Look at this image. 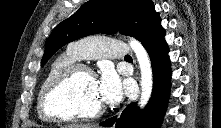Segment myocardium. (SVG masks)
Masks as SVG:
<instances>
[{
    "mask_svg": "<svg viewBox=\"0 0 221 128\" xmlns=\"http://www.w3.org/2000/svg\"><path fill=\"white\" fill-rule=\"evenodd\" d=\"M79 73H86L94 78V72L89 66L81 63H74L66 67L45 85L39 99L40 112L45 118L69 122L93 120L103 114L104 105H101L93 111H85L81 113L64 112L52 105L53 95L60 89L64 88Z\"/></svg>",
    "mask_w": 221,
    "mask_h": 128,
    "instance_id": "myocardium-1",
    "label": "myocardium"
}]
</instances>
